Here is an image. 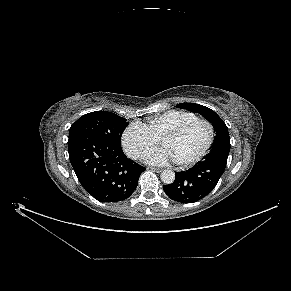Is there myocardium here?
Returning a JSON list of instances; mask_svg holds the SVG:
<instances>
[{"mask_svg":"<svg viewBox=\"0 0 291 291\" xmlns=\"http://www.w3.org/2000/svg\"><path fill=\"white\" fill-rule=\"evenodd\" d=\"M198 124H203L207 127V130H208L207 141H206L204 147L202 148V150L196 156H194L193 158L186 160V161H177V163L179 165H182V166L194 165L197 162H199L208 153L209 149L211 148V146L214 142V137H215L214 127H213L212 123L206 119L197 118L195 120L189 121V122L181 125L180 127L166 133L161 139V142L163 143L166 139L178 138Z\"/></svg>","mask_w":291,"mask_h":291,"instance_id":"f54148a6","label":"myocardium"}]
</instances>
